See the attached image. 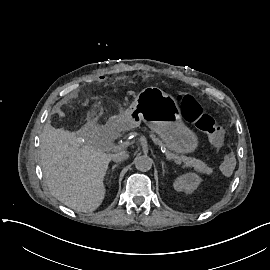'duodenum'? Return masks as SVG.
Instances as JSON below:
<instances>
[{"label":"duodenum","mask_w":270,"mask_h":270,"mask_svg":"<svg viewBox=\"0 0 270 270\" xmlns=\"http://www.w3.org/2000/svg\"><path fill=\"white\" fill-rule=\"evenodd\" d=\"M121 127L122 121L117 119L110 121L103 132L104 143L108 144L111 141H114L118 137Z\"/></svg>","instance_id":"duodenum-1"}]
</instances>
